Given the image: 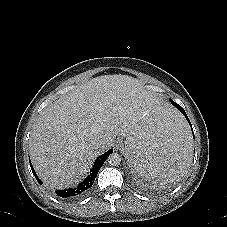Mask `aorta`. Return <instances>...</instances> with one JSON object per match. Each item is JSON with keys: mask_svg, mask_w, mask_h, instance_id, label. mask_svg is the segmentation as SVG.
I'll list each match as a JSON object with an SVG mask.
<instances>
[{"mask_svg": "<svg viewBox=\"0 0 227 227\" xmlns=\"http://www.w3.org/2000/svg\"><path fill=\"white\" fill-rule=\"evenodd\" d=\"M108 163L112 166H118L121 163V157L118 153H112L108 157Z\"/></svg>", "mask_w": 227, "mask_h": 227, "instance_id": "aorta-1", "label": "aorta"}]
</instances>
